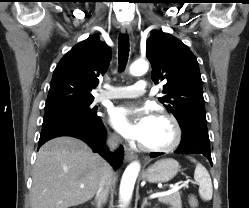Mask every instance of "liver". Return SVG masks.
Returning a JSON list of instances; mask_svg holds the SVG:
<instances>
[{
	"label": "liver",
	"instance_id": "1",
	"mask_svg": "<svg viewBox=\"0 0 249 208\" xmlns=\"http://www.w3.org/2000/svg\"><path fill=\"white\" fill-rule=\"evenodd\" d=\"M107 166L79 139L62 136L48 141L37 153L31 208H69L89 201L97 193ZM111 178L115 179L113 171Z\"/></svg>",
	"mask_w": 249,
	"mask_h": 208
}]
</instances>
